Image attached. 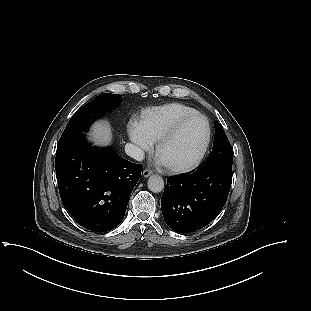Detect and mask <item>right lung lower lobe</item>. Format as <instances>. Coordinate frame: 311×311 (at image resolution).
<instances>
[{"instance_id": "98d812e1", "label": "right lung lower lobe", "mask_w": 311, "mask_h": 311, "mask_svg": "<svg viewBox=\"0 0 311 311\" xmlns=\"http://www.w3.org/2000/svg\"><path fill=\"white\" fill-rule=\"evenodd\" d=\"M55 162L61 200L80 225L105 232L120 224L141 165L110 148L91 147L84 136L57 149Z\"/></svg>"}]
</instances>
